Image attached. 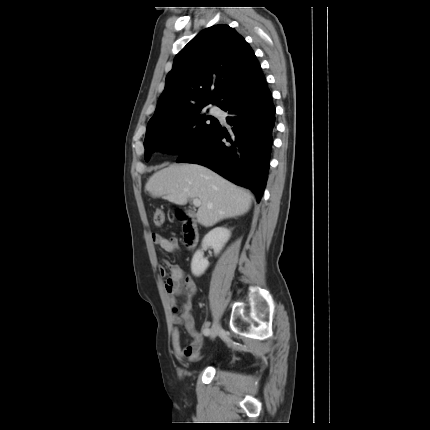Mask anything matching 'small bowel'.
I'll use <instances>...</instances> for the list:
<instances>
[{"label":"small bowel","instance_id":"c3829d8e","mask_svg":"<svg viewBox=\"0 0 430 430\" xmlns=\"http://www.w3.org/2000/svg\"><path fill=\"white\" fill-rule=\"evenodd\" d=\"M152 240L160 248L168 253H175L179 249L178 241L175 237H164L159 233L152 234ZM170 274H165V267L159 266L160 273L163 276L164 288L169 296L171 306L177 307L181 302L182 312L174 314L172 317L173 324L184 325L187 331L194 337L193 341L186 347L182 348L179 341V332L177 327L172 331L171 347L174 355L181 360L195 361L200 355L204 345V338L197 333L194 327L192 317V299L197 292V285L194 279L186 275L184 270L177 264H166ZM209 322L204 323L202 332L209 328ZM204 335V333H203Z\"/></svg>","mask_w":430,"mask_h":430}]
</instances>
